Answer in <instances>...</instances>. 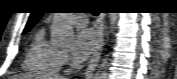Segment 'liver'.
Wrapping results in <instances>:
<instances>
[{
    "instance_id": "6515ba94",
    "label": "liver",
    "mask_w": 177,
    "mask_h": 79,
    "mask_svg": "<svg viewBox=\"0 0 177 79\" xmlns=\"http://www.w3.org/2000/svg\"><path fill=\"white\" fill-rule=\"evenodd\" d=\"M14 79H63L59 76H32V75H19L14 76Z\"/></svg>"
}]
</instances>
